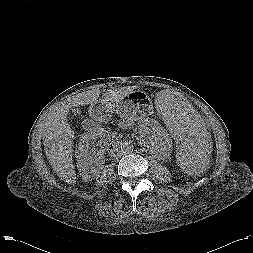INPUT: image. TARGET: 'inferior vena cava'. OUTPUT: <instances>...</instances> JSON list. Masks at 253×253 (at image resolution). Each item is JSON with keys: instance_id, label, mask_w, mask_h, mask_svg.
<instances>
[{"instance_id": "1", "label": "inferior vena cava", "mask_w": 253, "mask_h": 253, "mask_svg": "<svg viewBox=\"0 0 253 253\" xmlns=\"http://www.w3.org/2000/svg\"><path fill=\"white\" fill-rule=\"evenodd\" d=\"M111 154H112L113 158L117 159V158H120L123 155V152H122V150H120L118 148H115V149L112 150Z\"/></svg>"}]
</instances>
